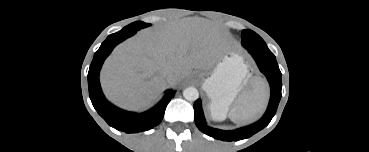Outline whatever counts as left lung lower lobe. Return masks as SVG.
<instances>
[{
	"label": "left lung lower lobe",
	"mask_w": 369,
	"mask_h": 152,
	"mask_svg": "<svg viewBox=\"0 0 369 152\" xmlns=\"http://www.w3.org/2000/svg\"><path fill=\"white\" fill-rule=\"evenodd\" d=\"M251 55L255 59L260 71L267 77L271 87V97L265 114L256 123L234 131L215 129L207 126L202 111L201 100L198 99L194 103L195 123L197 128L208 136L223 141H238L246 139L266 127L275 115L281 98L282 88L281 72L275 56L261 55L256 52L251 53Z\"/></svg>",
	"instance_id": "left-lung-lower-lobe-1"
}]
</instances>
